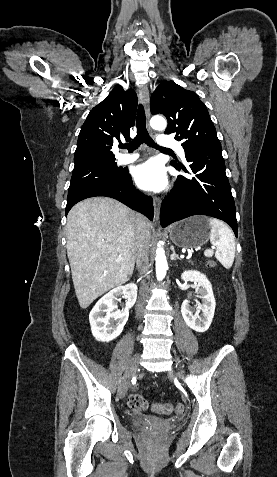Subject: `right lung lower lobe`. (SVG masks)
Returning a JSON list of instances; mask_svg holds the SVG:
<instances>
[{
  "instance_id": "right-lung-lower-lobe-1",
  "label": "right lung lower lobe",
  "mask_w": 277,
  "mask_h": 477,
  "mask_svg": "<svg viewBox=\"0 0 277 477\" xmlns=\"http://www.w3.org/2000/svg\"><path fill=\"white\" fill-rule=\"evenodd\" d=\"M96 196L114 198L133 210L143 213L150 220L153 219V200L139 192L132 183L131 176L122 182L103 181L88 185L67 197L66 215L79 201Z\"/></svg>"
}]
</instances>
